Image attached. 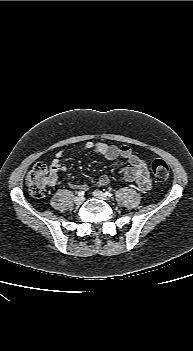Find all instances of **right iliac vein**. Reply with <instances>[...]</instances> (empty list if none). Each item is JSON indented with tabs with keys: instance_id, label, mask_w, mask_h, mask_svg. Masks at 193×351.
Instances as JSON below:
<instances>
[{
	"instance_id": "63e3f726",
	"label": "right iliac vein",
	"mask_w": 193,
	"mask_h": 351,
	"mask_svg": "<svg viewBox=\"0 0 193 351\" xmlns=\"http://www.w3.org/2000/svg\"><path fill=\"white\" fill-rule=\"evenodd\" d=\"M84 200H85L84 196H77V197L74 198V202L77 205L82 204L84 202Z\"/></svg>"
}]
</instances>
